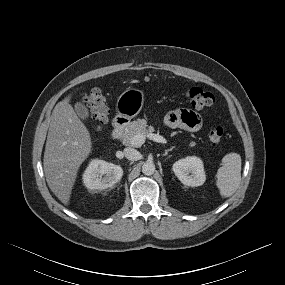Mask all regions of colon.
Returning a JSON list of instances; mask_svg holds the SVG:
<instances>
[{"instance_id":"obj_1","label":"colon","mask_w":285,"mask_h":285,"mask_svg":"<svg viewBox=\"0 0 285 285\" xmlns=\"http://www.w3.org/2000/svg\"><path fill=\"white\" fill-rule=\"evenodd\" d=\"M186 97L191 106L202 109L214 103V96L199 87H192L186 91ZM84 102L90 109V116L97 128L102 127L108 120L109 109L103 93L99 89H92L85 97ZM225 130L222 126L211 128L208 134L209 142L212 146H217L223 139Z\"/></svg>"}]
</instances>
